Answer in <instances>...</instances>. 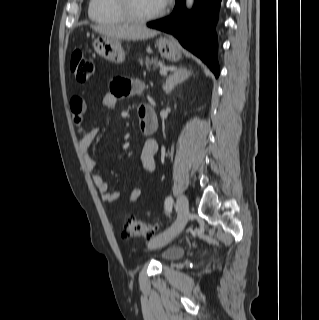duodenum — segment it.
Returning a JSON list of instances; mask_svg holds the SVG:
<instances>
[{"mask_svg": "<svg viewBox=\"0 0 319 320\" xmlns=\"http://www.w3.org/2000/svg\"><path fill=\"white\" fill-rule=\"evenodd\" d=\"M140 128L144 133L155 132L158 128V119L156 110L147 105L143 107L139 112Z\"/></svg>", "mask_w": 319, "mask_h": 320, "instance_id": "obj_1", "label": "duodenum"}]
</instances>
